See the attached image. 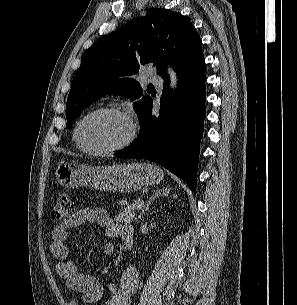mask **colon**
Segmentation results:
<instances>
[{"mask_svg": "<svg viewBox=\"0 0 297 305\" xmlns=\"http://www.w3.org/2000/svg\"><path fill=\"white\" fill-rule=\"evenodd\" d=\"M76 210V203L67 194H60L52 209V219L55 221H63L71 217Z\"/></svg>", "mask_w": 297, "mask_h": 305, "instance_id": "1", "label": "colon"}]
</instances>
